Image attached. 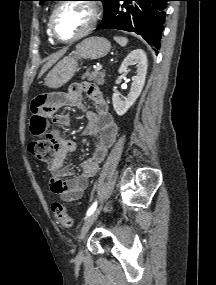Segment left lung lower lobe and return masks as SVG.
Listing matches in <instances>:
<instances>
[{"label": "left lung lower lobe", "mask_w": 216, "mask_h": 285, "mask_svg": "<svg viewBox=\"0 0 216 285\" xmlns=\"http://www.w3.org/2000/svg\"><path fill=\"white\" fill-rule=\"evenodd\" d=\"M170 0H113L96 30L120 29L141 35L159 49ZM157 52V51H156Z\"/></svg>", "instance_id": "1"}]
</instances>
